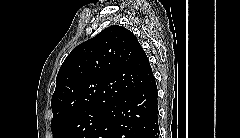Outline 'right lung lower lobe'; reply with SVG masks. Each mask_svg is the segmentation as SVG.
I'll use <instances>...</instances> for the list:
<instances>
[{
	"instance_id": "98d812e1",
	"label": "right lung lower lobe",
	"mask_w": 240,
	"mask_h": 138,
	"mask_svg": "<svg viewBox=\"0 0 240 138\" xmlns=\"http://www.w3.org/2000/svg\"><path fill=\"white\" fill-rule=\"evenodd\" d=\"M157 86L145 87L110 106L90 138H158Z\"/></svg>"
}]
</instances>
